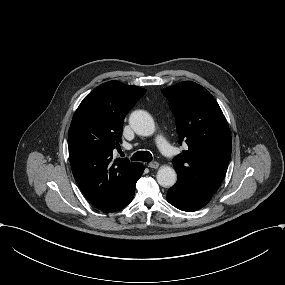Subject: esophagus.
<instances>
[{
    "label": "esophagus",
    "mask_w": 285,
    "mask_h": 285,
    "mask_svg": "<svg viewBox=\"0 0 285 285\" xmlns=\"http://www.w3.org/2000/svg\"><path fill=\"white\" fill-rule=\"evenodd\" d=\"M148 167L153 168V169H157L159 167V163L157 161H153V162L148 164Z\"/></svg>",
    "instance_id": "1"
}]
</instances>
